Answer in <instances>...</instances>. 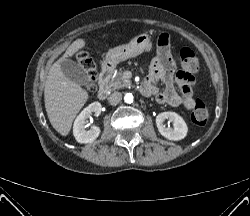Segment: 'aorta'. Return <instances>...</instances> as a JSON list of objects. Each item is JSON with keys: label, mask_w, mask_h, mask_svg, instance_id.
Instances as JSON below:
<instances>
[{"label": "aorta", "mask_w": 250, "mask_h": 216, "mask_svg": "<svg viewBox=\"0 0 250 216\" xmlns=\"http://www.w3.org/2000/svg\"><path fill=\"white\" fill-rule=\"evenodd\" d=\"M133 99L134 97L131 93H127L124 97L125 102L129 104L133 102Z\"/></svg>", "instance_id": "obj_1"}]
</instances>
